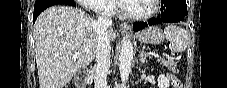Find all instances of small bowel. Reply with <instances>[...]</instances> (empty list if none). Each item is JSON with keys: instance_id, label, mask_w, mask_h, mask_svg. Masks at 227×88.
Returning <instances> with one entry per match:
<instances>
[{"instance_id": "obj_1", "label": "small bowel", "mask_w": 227, "mask_h": 88, "mask_svg": "<svg viewBox=\"0 0 227 88\" xmlns=\"http://www.w3.org/2000/svg\"><path fill=\"white\" fill-rule=\"evenodd\" d=\"M169 77H170L172 80L176 81V79H175L173 76H170V75H169Z\"/></svg>"}]
</instances>
